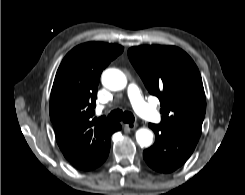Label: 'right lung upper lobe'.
<instances>
[{"mask_svg":"<svg viewBox=\"0 0 245 195\" xmlns=\"http://www.w3.org/2000/svg\"><path fill=\"white\" fill-rule=\"evenodd\" d=\"M123 47L88 42L73 48L61 62L50 96V119L65 158L81 170L97 167L99 141L116 124L93 118L102 70Z\"/></svg>","mask_w":245,"mask_h":195,"instance_id":"obj_1","label":"right lung upper lobe"}]
</instances>
